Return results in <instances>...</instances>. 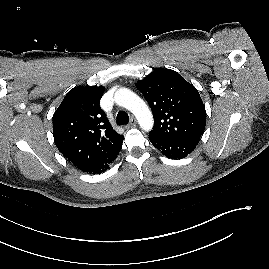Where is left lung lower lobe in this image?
<instances>
[{
  "mask_svg": "<svg viewBox=\"0 0 269 269\" xmlns=\"http://www.w3.org/2000/svg\"><path fill=\"white\" fill-rule=\"evenodd\" d=\"M150 142L163 155L171 159H182L190 154L197 146L198 140H165L149 136Z\"/></svg>",
  "mask_w": 269,
  "mask_h": 269,
  "instance_id": "1",
  "label": "left lung lower lobe"
}]
</instances>
